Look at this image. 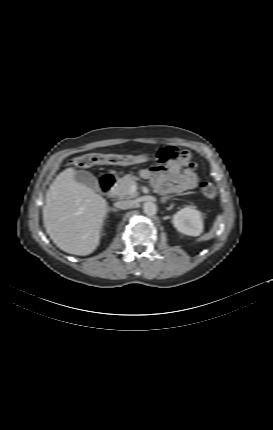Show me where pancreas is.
Listing matches in <instances>:
<instances>
[{
    "instance_id": "cf45deb5",
    "label": "pancreas",
    "mask_w": 273,
    "mask_h": 430,
    "mask_svg": "<svg viewBox=\"0 0 273 430\" xmlns=\"http://www.w3.org/2000/svg\"><path fill=\"white\" fill-rule=\"evenodd\" d=\"M136 185V178L132 175H125L119 184L114 187V194L119 198H134L138 193L130 192V187Z\"/></svg>"
}]
</instances>
